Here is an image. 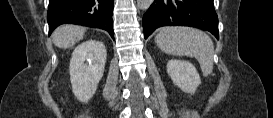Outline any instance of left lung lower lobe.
I'll list each match as a JSON object with an SVG mask.
<instances>
[{"label": "left lung lower lobe", "mask_w": 273, "mask_h": 118, "mask_svg": "<svg viewBox=\"0 0 273 118\" xmlns=\"http://www.w3.org/2000/svg\"><path fill=\"white\" fill-rule=\"evenodd\" d=\"M162 26L196 27L219 38L213 0H154L143 16L144 38Z\"/></svg>", "instance_id": "left-lung-lower-lobe-1"}]
</instances>
